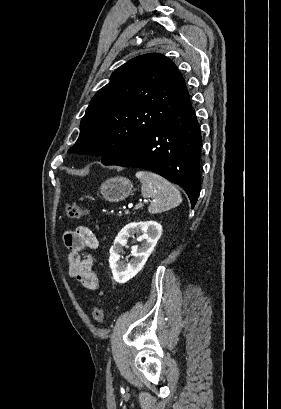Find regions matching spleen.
<instances>
[{
    "instance_id": "obj_1",
    "label": "spleen",
    "mask_w": 281,
    "mask_h": 409,
    "mask_svg": "<svg viewBox=\"0 0 281 409\" xmlns=\"http://www.w3.org/2000/svg\"><path fill=\"white\" fill-rule=\"evenodd\" d=\"M135 176L142 182L143 196L152 198L151 205L148 207V211L152 215L175 209L182 202L178 188L163 176H159L155 172H148V170H138Z\"/></svg>"
}]
</instances>
